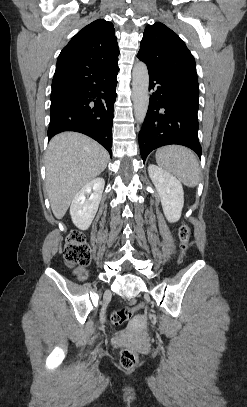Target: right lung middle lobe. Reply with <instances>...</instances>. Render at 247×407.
Segmentation results:
<instances>
[{
  "label": "right lung middle lobe",
  "mask_w": 247,
  "mask_h": 407,
  "mask_svg": "<svg viewBox=\"0 0 247 407\" xmlns=\"http://www.w3.org/2000/svg\"><path fill=\"white\" fill-rule=\"evenodd\" d=\"M62 91H52L51 96L61 93Z\"/></svg>",
  "instance_id": "obj_1"
}]
</instances>
